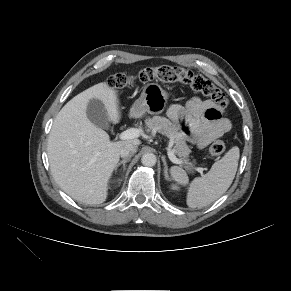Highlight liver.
Returning <instances> with one entry per match:
<instances>
[{"mask_svg": "<svg viewBox=\"0 0 291 291\" xmlns=\"http://www.w3.org/2000/svg\"><path fill=\"white\" fill-rule=\"evenodd\" d=\"M100 100L108 119L121 118L117 91L107 83L96 84L73 97L57 114L48 138L51 173L60 188L78 202L97 205L107 199L108 184L121 149L140 145L139 139L111 142L109 135L87 117L90 99Z\"/></svg>", "mask_w": 291, "mask_h": 291, "instance_id": "1", "label": "liver"}]
</instances>
